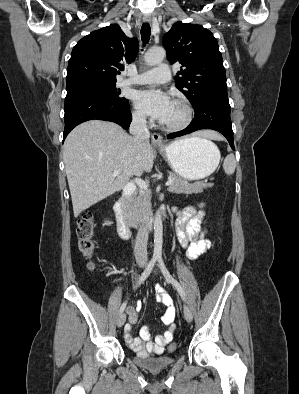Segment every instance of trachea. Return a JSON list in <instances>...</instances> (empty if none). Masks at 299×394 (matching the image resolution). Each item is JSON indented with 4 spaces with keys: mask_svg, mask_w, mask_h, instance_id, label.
<instances>
[{
    "mask_svg": "<svg viewBox=\"0 0 299 394\" xmlns=\"http://www.w3.org/2000/svg\"><path fill=\"white\" fill-rule=\"evenodd\" d=\"M150 34H151V28H150L149 23H143V25L141 27V38H142L143 44H146L149 41Z\"/></svg>",
    "mask_w": 299,
    "mask_h": 394,
    "instance_id": "obj_1",
    "label": "trachea"
}]
</instances>
